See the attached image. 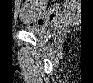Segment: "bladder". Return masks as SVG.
Here are the masks:
<instances>
[{
	"mask_svg": "<svg viewBox=\"0 0 93 83\" xmlns=\"http://www.w3.org/2000/svg\"><path fill=\"white\" fill-rule=\"evenodd\" d=\"M32 32L35 33L36 35L40 36V37L44 36V31L40 28H33Z\"/></svg>",
	"mask_w": 93,
	"mask_h": 83,
	"instance_id": "31cf9c89",
	"label": "bladder"
}]
</instances>
